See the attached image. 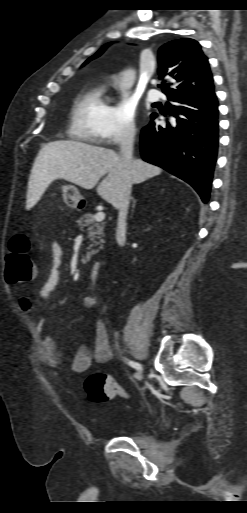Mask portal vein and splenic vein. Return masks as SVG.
Listing matches in <instances>:
<instances>
[{
  "label": "portal vein and splenic vein",
  "instance_id": "1",
  "mask_svg": "<svg viewBox=\"0 0 247 513\" xmlns=\"http://www.w3.org/2000/svg\"><path fill=\"white\" fill-rule=\"evenodd\" d=\"M95 221L102 222L105 219V213L103 211H99L94 216Z\"/></svg>",
  "mask_w": 247,
  "mask_h": 513
}]
</instances>
